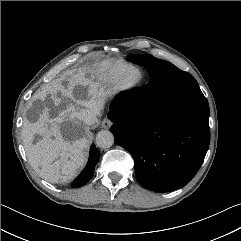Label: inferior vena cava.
<instances>
[{
    "mask_svg": "<svg viewBox=\"0 0 241 241\" xmlns=\"http://www.w3.org/2000/svg\"><path fill=\"white\" fill-rule=\"evenodd\" d=\"M100 110L101 107L99 105H95L92 108L83 110L81 114V120L88 125L93 124L97 115L100 114Z\"/></svg>",
    "mask_w": 241,
    "mask_h": 241,
    "instance_id": "inferior-vena-cava-1",
    "label": "inferior vena cava"
}]
</instances>
